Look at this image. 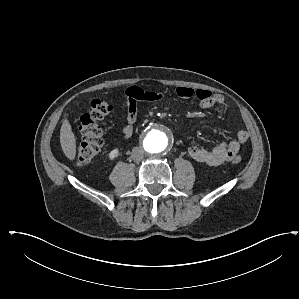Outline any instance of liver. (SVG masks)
Here are the masks:
<instances>
[{
  "label": "liver",
  "instance_id": "1",
  "mask_svg": "<svg viewBox=\"0 0 299 299\" xmlns=\"http://www.w3.org/2000/svg\"><path fill=\"white\" fill-rule=\"evenodd\" d=\"M60 144L65 156L74 160L76 156V138L67 119H64L60 129Z\"/></svg>",
  "mask_w": 299,
  "mask_h": 299
}]
</instances>
